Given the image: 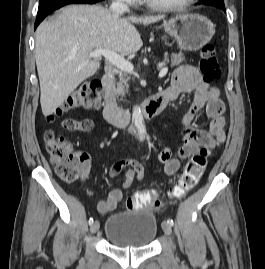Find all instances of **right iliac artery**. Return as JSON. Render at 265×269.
Masks as SVG:
<instances>
[{
  "label": "right iliac artery",
  "instance_id": "obj_1",
  "mask_svg": "<svg viewBox=\"0 0 265 269\" xmlns=\"http://www.w3.org/2000/svg\"><path fill=\"white\" fill-rule=\"evenodd\" d=\"M93 224V218H90L89 219V225H92Z\"/></svg>",
  "mask_w": 265,
  "mask_h": 269
}]
</instances>
